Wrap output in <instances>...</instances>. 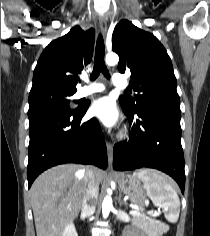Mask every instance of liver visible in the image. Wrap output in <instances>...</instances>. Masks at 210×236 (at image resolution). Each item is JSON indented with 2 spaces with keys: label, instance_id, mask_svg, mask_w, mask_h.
Listing matches in <instances>:
<instances>
[{
  "label": "liver",
  "instance_id": "6515ba94",
  "mask_svg": "<svg viewBox=\"0 0 210 236\" xmlns=\"http://www.w3.org/2000/svg\"><path fill=\"white\" fill-rule=\"evenodd\" d=\"M76 164L58 165L37 177L30 189L37 236H62L64 228L81 209L88 185V172ZM102 182L105 172L94 170Z\"/></svg>",
  "mask_w": 210,
  "mask_h": 236
}]
</instances>
